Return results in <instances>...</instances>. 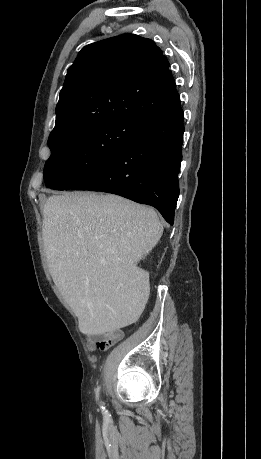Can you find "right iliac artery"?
Masks as SVG:
<instances>
[{"instance_id": "1", "label": "right iliac artery", "mask_w": 261, "mask_h": 459, "mask_svg": "<svg viewBox=\"0 0 261 459\" xmlns=\"http://www.w3.org/2000/svg\"><path fill=\"white\" fill-rule=\"evenodd\" d=\"M98 393H99V387H98L97 390H96V397H97V398H98ZM101 408L103 409V411H105V407L102 406ZM105 412H106V411H105Z\"/></svg>"}]
</instances>
